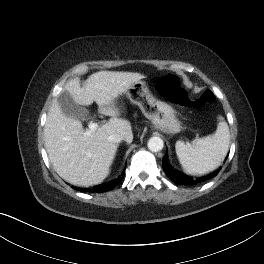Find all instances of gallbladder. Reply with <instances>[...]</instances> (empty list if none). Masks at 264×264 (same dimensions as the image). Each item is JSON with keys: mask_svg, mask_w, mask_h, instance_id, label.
<instances>
[{"mask_svg": "<svg viewBox=\"0 0 264 264\" xmlns=\"http://www.w3.org/2000/svg\"><path fill=\"white\" fill-rule=\"evenodd\" d=\"M57 102L61 111L68 117L84 120L88 116V110L81 107L68 91H61L57 96Z\"/></svg>", "mask_w": 264, "mask_h": 264, "instance_id": "gallbladder-1", "label": "gallbladder"}]
</instances>
